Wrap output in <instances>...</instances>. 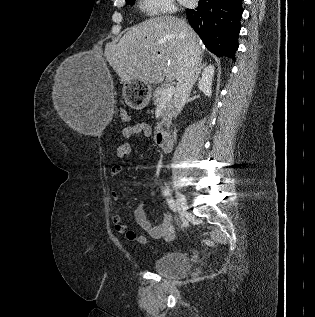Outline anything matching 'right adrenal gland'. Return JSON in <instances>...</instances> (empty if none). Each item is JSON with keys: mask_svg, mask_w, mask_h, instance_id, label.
Here are the masks:
<instances>
[{"mask_svg": "<svg viewBox=\"0 0 315 317\" xmlns=\"http://www.w3.org/2000/svg\"><path fill=\"white\" fill-rule=\"evenodd\" d=\"M201 62H202V58L200 59V62L198 64L197 72H196L195 79H194V84L199 80V75H200L202 69L206 66V63L202 64Z\"/></svg>", "mask_w": 315, "mask_h": 317, "instance_id": "obj_1", "label": "right adrenal gland"}]
</instances>
